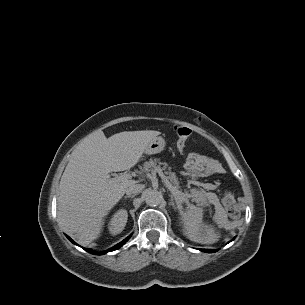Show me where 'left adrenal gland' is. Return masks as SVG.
Returning a JSON list of instances; mask_svg holds the SVG:
<instances>
[{
	"label": "left adrenal gland",
	"mask_w": 305,
	"mask_h": 305,
	"mask_svg": "<svg viewBox=\"0 0 305 305\" xmlns=\"http://www.w3.org/2000/svg\"><path fill=\"white\" fill-rule=\"evenodd\" d=\"M170 198H171V202H170V205H172V207L176 210L179 208V204L177 202V207L175 206V203H174V198H173V195L171 194L170 195Z\"/></svg>",
	"instance_id": "1"
}]
</instances>
